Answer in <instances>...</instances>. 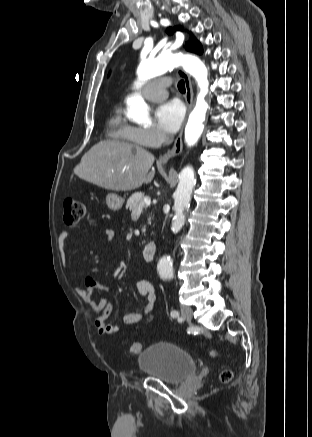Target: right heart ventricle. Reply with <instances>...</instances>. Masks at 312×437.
Segmentation results:
<instances>
[{"mask_svg":"<svg viewBox=\"0 0 312 437\" xmlns=\"http://www.w3.org/2000/svg\"><path fill=\"white\" fill-rule=\"evenodd\" d=\"M109 133L117 141L139 144L132 136V127L123 119L119 109H117L108 122Z\"/></svg>","mask_w":312,"mask_h":437,"instance_id":"obj_1","label":"right heart ventricle"}]
</instances>
